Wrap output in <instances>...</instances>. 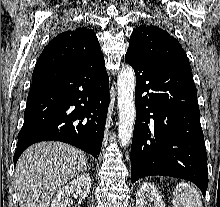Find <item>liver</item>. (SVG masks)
I'll return each instance as SVG.
<instances>
[{
    "label": "liver",
    "mask_w": 220,
    "mask_h": 207,
    "mask_svg": "<svg viewBox=\"0 0 220 207\" xmlns=\"http://www.w3.org/2000/svg\"><path fill=\"white\" fill-rule=\"evenodd\" d=\"M87 156L61 142H40L20 156L14 174L20 207H49L54 193L87 168Z\"/></svg>",
    "instance_id": "6515ba94"
}]
</instances>
